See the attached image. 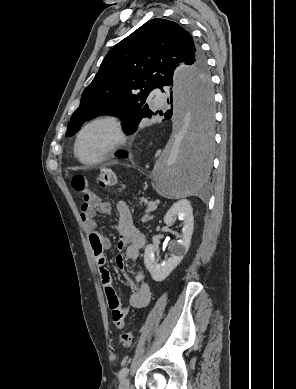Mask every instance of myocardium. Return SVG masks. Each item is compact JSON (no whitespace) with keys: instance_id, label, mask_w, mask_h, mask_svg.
<instances>
[{"instance_id":"obj_1","label":"myocardium","mask_w":296,"mask_h":389,"mask_svg":"<svg viewBox=\"0 0 296 389\" xmlns=\"http://www.w3.org/2000/svg\"><path fill=\"white\" fill-rule=\"evenodd\" d=\"M96 125L108 126L112 132V140L97 158L92 160H86L82 158L79 154L80 140L87 130ZM125 141L126 134L124 131L123 123L119 117L114 115L99 116L84 124L77 133L74 143V155L83 164L95 165L103 162L108 157H110L119 147H121L125 143Z\"/></svg>"}]
</instances>
